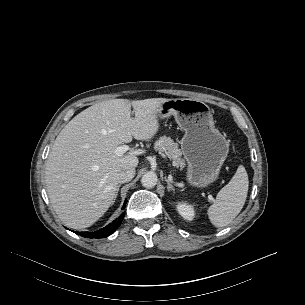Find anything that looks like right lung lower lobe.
<instances>
[{"label":"right lung lower lobe","mask_w":305,"mask_h":305,"mask_svg":"<svg viewBox=\"0 0 305 305\" xmlns=\"http://www.w3.org/2000/svg\"><path fill=\"white\" fill-rule=\"evenodd\" d=\"M127 200H125L124 205L122 208H125V204H126ZM124 218V213H122L118 220H115L113 223H111L110 225L106 226L105 228H102L98 231L95 232H77L76 234H80L83 237H87V238H105L109 235H111L112 233H114V231L120 226L122 220Z\"/></svg>","instance_id":"obj_1"}]
</instances>
